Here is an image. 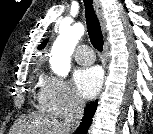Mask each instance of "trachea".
I'll return each mask as SVG.
<instances>
[{
  "label": "trachea",
  "instance_id": "obj_1",
  "mask_svg": "<svg viewBox=\"0 0 153 134\" xmlns=\"http://www.w3.org/2000/svg\"><path fill=\"white\" fill-rule=\"evenodd\" d=\"M83 2L85 5V17L90 41L96 50L102 51L104 43L103 35L99 20L93 9V0H83Z\"/></svg>",
  "mask_w": 153,
  "mask_h": 134
}]
</instances>
